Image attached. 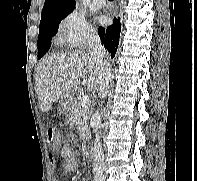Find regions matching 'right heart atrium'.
Segmentation results:
<instances>
[{"mask_svg":"<svg viewBox=\"0 0 197 181\" xmlns=\"http://www.w3.org/2000/svg\"><path fill=\"white\" fill-rule=\"evenodd\" d=\"M58 35L60 41L74 48L85 47L96 38L95 29L87 21L85 14L78 9L71 10L61 19Z\"/></svg>","mask_w":197,"mask_h":181,"instance_id":"d8ad5b80","label":"right heart atrium"}]
</instances>
